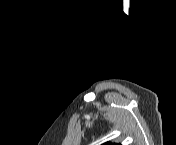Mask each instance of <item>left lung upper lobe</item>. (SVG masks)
I'll return each mask as SVG.
<instances>
[{
    "label": "left lung upper lobe",
    "instance_id": "left-lung-upper-lobe-1",
    "mask_svg": "<svg viewBox=\"0 0 176 145\" xmlns=\"http://www.w3.org/2000/svg\"><path fill=\"white\" fill-rule=\"evenodd\" d=\"M104 145H118V144L105 143Z\"/></svg>",
    "mask_w": 176,
    "mask_h": 145
}]
</instances>
